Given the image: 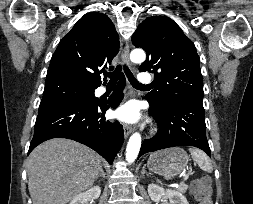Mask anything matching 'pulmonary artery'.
Segmentation results:
<instances>
[{"mask_svg": "<svg viewBox=\"0 0 253 204\" xmlns=\"http://www.w3.org/2000/svg\"><path fill=\"white\" fill-rule=\"evenodd\" d=\"M138 79L139 83H141L143 86H149L153 81V78L149 73H140L138 75ZM103 93H105V89L100 90V94Z\"/></svg>", "mask_w": 253, "mask_h": 204, "instance_id": "obj_1", "label": "pulmonary artery"}]
</instances>
